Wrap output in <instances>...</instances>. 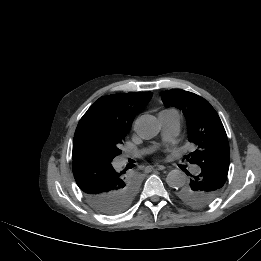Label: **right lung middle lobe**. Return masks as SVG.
I'll return each mask as SVG.
<instances>
[{
  "label": "right lung middle lobe",
  "instance_id": "1",
  "mask_svg": "<svg viewBox=\"0 0 261 261\" xmlns=\"http://www.w3.org/2000/svg\"><path fill=\"white\" fill-rule=\"evenodd\" d=\"M127 132L107 130L89 123L78 124L73 141L72 158H90L112 162L122 151L119 149ZM138 184L131 179L124 189L125 202L133 201Z\"/></svg>",
  "mask_w": 261,
  "mask_h": 261
}]
</instances>
